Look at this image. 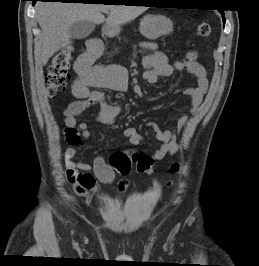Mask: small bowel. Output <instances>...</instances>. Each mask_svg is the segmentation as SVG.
Listing matches in <instances>:
<instances>
[{
  "label": "small bowel",
  "instance_id": "obj_1",
  "mask_svg": "<svg viewBox=\"0 0 259 266\" xmlns=\"http://www.w3.org/2000/svg\"><path fill=\"white\" fill-rule=\"evenodd\" d=\"M95 45L99 46L97 52L93 50ZM101 54V45L91 42L88 50L78 57L74 64L76 78L71 86V93L76 100L70 102L63 112L65 125L68 128L76 129L84 138H88L90 135L89 127L84 122L77 123V116L86 109L100 104L98 121L106 125L112 124L122 111V107L109 103L102 89L122 91L126 89L128 83V74L125 68L117 65H95L96 59ZM142 64L146 69L143 78L148 83H155L160 77H169L174 71L186 70L193 74L196 84L187 87L184 94L190 97V113L194 114L198 111L209 85L206 71L199 62L176 61L172 64L164 53L154 51L143 56ZM186 122L187 115L182 114L177 120L175 130H163L156 122L148 123L160 143L158 149L150 157L153 161L162 160L178 151L176 135L181 133ZM123 134L132 145H138L143 140L142 135L134 128H125ZM67 155L73 157L75 150L68 148ZM67 178L79 196L90 200L91 193L98 191L99 184H111L114 181L115 172L110 163H107L102 156H96L92 165L86 162L73 163L67 170ZM118 187L121 191L125 190L127 182H120Z\"/></svg>",
  "mask_w": 259,
  "mask_h": 266
}]
</instances>
